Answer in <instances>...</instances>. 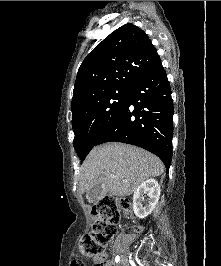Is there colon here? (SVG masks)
I'll list each match as a JSON object with an SVG mask.
<instances>
[{
  "label": "colon",
  "mask_w": 221,
  "mask_h": 266,
  "mask_svg": "<svg viewBox=\"0 0 221 266\" xmlns=\"http://www.w3.org/2000/svg\"><path fill=\"white\" fill-rule=\"evenodd\" d=\"M130 203L125 201L118 204L114 199L106 197L93 207L95 221L89 233L85 234L79 242V252L82 257L95 258L99 256L104 246L111 241L117 233L119 209L128 210ZM132 230H139V226H131ZM95 266H104L96 262Z\"/></svg>",
  "instance_id": "colon-1"
}]
</instances>
